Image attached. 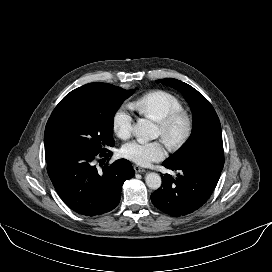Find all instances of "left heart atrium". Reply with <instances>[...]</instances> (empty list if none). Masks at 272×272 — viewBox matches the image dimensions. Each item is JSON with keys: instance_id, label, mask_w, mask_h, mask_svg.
I'll return each instance as SVG.
<instances>
[{"instance_id": "1", "label": "left heart atrium", "mask_w": 272, "mask_h": 272, "mask_svg": "<svg viewBox=\"0 0 272 272\" xmlns=\"http://www.w3.org/2000/svg\"><path fill=\"white\" fill-rule=\"evenodd\" d=\"M121 153L126 159L136 164L147 166L152 162L162 160L166 155V150L160 141H133L125 144Z\"/></svg>"}]
</instances>
